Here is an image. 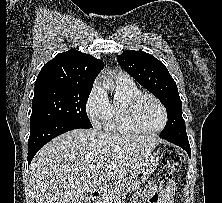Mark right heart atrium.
Returning <instances> with one entry per match:
<instances>
[{
    "mask_svg": "<svg viewBox=\"0 0 222 203\" xmlns=\"http://www.w3.org/2000/svg\"><path fill=\"white\" fill-rule=\"evenodd\" d=\"M109 111V99L104 89L95 84L86 101V112L94 127L105 124Z\"/></svg>",
    "mask_w": 222,
    "mask_h": 203,
    "instance_id": "d8ad5b80",
    "label": "right heart atrium"
}]
</instances>
